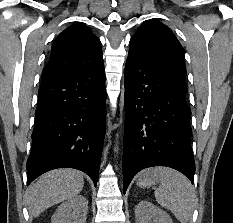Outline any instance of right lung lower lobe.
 I'll return each instance as SVG.
<instances>
[{"instance_id": "right-lung-lower-lobe-1", "label": "right lung lower lobe", "mask_w": 233, "mask_h": 223, "mask_svg": "<svg viewBox=\"0 0 233 223\" xmlns=\"http://www.w3.org/2000/svg\"><path fill=\"white\" fill-rule=\"evenodd\" d=\"M35 116L27 184L44 172L69 167L96 185L106 128L104 65L41 81Z\"/></svg>"}]
</instances>
